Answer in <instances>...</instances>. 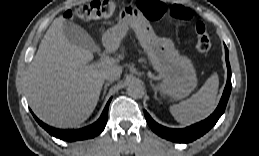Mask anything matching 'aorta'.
I'll return each instance as SVG.
<instances>
[{"instance_id":"obj_1","label":"aorta","mask_w":259,"mask_h":156,"mask_svg":"<svg viewBox=\"0 0 259 156\" xmlns=\"http://www.w3.org/2000/svg\"><path fill=\"white\" fill-rule=\"evenodd\" d=\"M127 94L133 98H142L144 96V87L138 80L131 81L127 86Z\"/></svg>"}]
</instances>
